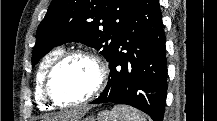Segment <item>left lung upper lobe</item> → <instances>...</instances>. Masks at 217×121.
Instances as JSON below:
<instances>
[{"label":"left lung upper lobe","mask_w":217,"mask_h":121,"mask_svg":"<svg viewBox=\"0 0 217 121\" xmlns=\"http://www.w3.org/2000/svg\"><path fill=\"white\" fill-rule=\"evenodd\" d=\"M137 0H52L39 24L32 67L52 48L81 42L110 59Z\"/></svg>","instance_id":"5c2ea615"}]
</instances>
